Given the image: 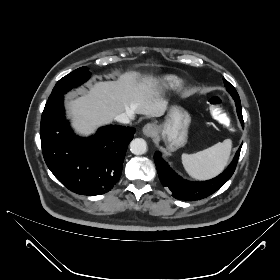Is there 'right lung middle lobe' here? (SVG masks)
Instances as JSON below:
<instances>
[{
  "mask_svg": "<svg viewBox=\"0 0 280 280\" xmlns=\"http://www.w3.org/2000/svg\"><path fill=\"white\" fill-rule=\"evenodd\" d=\"M90 77V72L87 70L86 67H80L73 72L69 73L68 75L61 78L57 84L55 85L52 93L48 99V102L63 97L65 93H67L72 88H75L85 81H87Z\"/></svg>",
  "mask_w": 280,
  "mask_h": 280,
  "instance_id": "dd1d6c3e",
  "label": "right lung middle lobe"
}]
</instances>
